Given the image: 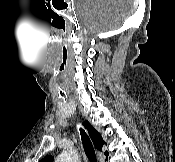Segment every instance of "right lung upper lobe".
Here are the masks:
<instances>
[{
  "mask_svg": "<svg viewBox=\"0 0 175 162\" xmlns=\"http://www.w3.org/2000/svg\"><path fill=\"white\" fill-rule=\"evenodd\" d=\"M83 125L87 129L88 134L95 147L98 150H102V146L105 144V141L101 137L100 133L89 122H84ZM105 154L108 156V152H105ZM40 162H52V156H46Z\"/></svg>",
  "mask_w": 175,
  "mask_h": 162,
  "instance_id": "right-lung-upper-lobe-1",
  "label": "right lung upper lobe"
}]
</instances>
